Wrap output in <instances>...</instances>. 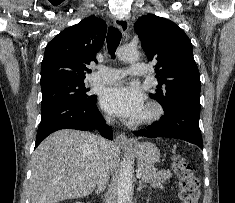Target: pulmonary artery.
Returning a JSON list of instances; mask_svg holds the SVG:
<instances>
[{"label":"pulmonary artery","mask_w":235,"mask_h":203,"mask_svg":"<svg viewBox=\"0 0 235 203\" xmlns=\"http://www.w3.org/2000/svg\"><path fill=\"white\" fill-rule=\"evenodd\" d=\"M147 67L143 63H133L128 70L111 68V67H99L96 72H94L89 81L91 83H115L121 80L127 74L141 76L146 74Z\"/></svg>","instance_id":"pulmonary-artery-1"}]
</instances>
